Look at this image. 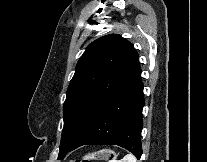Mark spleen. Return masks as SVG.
<instances>
[{
  "label": "spleen",
  "instance_id": "obj_1",
  "mask_svg": "<svg viewBox=\"0 0 207 162\" xmlns=\"http://www.w3.org/2000/svg\"><path fill=\"white\" fill-rule=\"evenodd\" d=\"M112 162H137V159L134 155L127 154L121 160H118V161L113 160Z\"/></svg>",
  "mask_w": 207,
  "mask_h": 162
}]
</instances>
